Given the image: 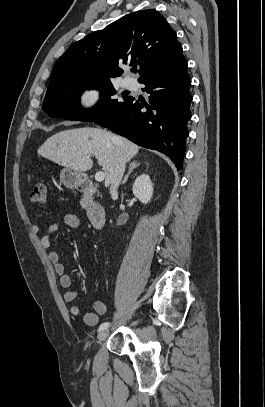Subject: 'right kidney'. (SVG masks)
Masks as SVG:
<instances>
[{
  "label": "right kidney",
  "mask_w": 265,
  "mask_h": 407,
  "mask_svg": "<svg viewBox=\"0 0 265 407\" xmlns=\"http://www.w3.org/2000/svg\"><path fill=\"white\" fill-rule=\"evenodd\" d=\"M133 194L143 204H147L153 195V184L147 174L138 176L132 187Z\"/></svg>",
  "instance_id": "right-kidney-1"
}]
</instances>
